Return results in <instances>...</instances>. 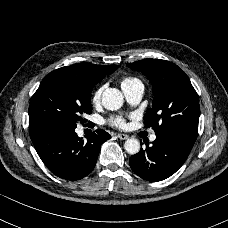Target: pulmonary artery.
<instances>
[{"mask_svg":"<svg viewBox=\"0 0 228 228\" xmlns=\"http://www.w3.org/2000/svg\"><path fill=\"white\" fill-rule=\"evenodd\" d=\"M122 91L126 100L131 104H137L143 97L144 85L138 80L130 85L122 87ZM150 141L156 140V134L152 133L149 137Z\"/></svg>","mask_w":228,"mask_h":228,"instance_id":"obj_1","label":"pulmonary artery"}]
</instances>
